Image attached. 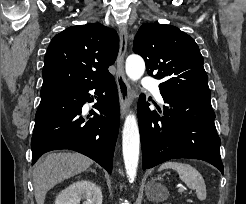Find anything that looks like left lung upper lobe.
Listing matches in <instances>:
<instances>
[{
	"mask_svg": "<svg viewBox=\"0 0 246 204\" xmlns=\"http://www.w3.org/2000/svg\"><path fill=\"white\" fill-rule=\"evenodd\" d=\"M133 51L143 57L149 75L163 80L160 91L211 94L198 45L177 27L143 24L135 36Z\"/></svg>",
	"mask_w": 246,
	"mask_h": 204,
	"instance_id": "left-lung-upper-lobe-1",
	"label": "left lung upper lobe"
}]
</instances>
